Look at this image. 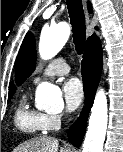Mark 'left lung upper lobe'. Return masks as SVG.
Listing matches in <instances>:
<instances>
[{"instance_id":"left-lung-upper-lobe-1","label":"left lung upper lobe","mask_w":123,"mask_h":152,"mask_svg":"<svg viewBox=\"0 0 123 152\" xmlns=\"http://www.w3.org/2000/svg\"><path fill=\"white\" fill-rule=\"evenodd\" d=\"M36 65L35 39L27 33L15 63L16 82L20 85L33 72Z\"/></svg>"}]
</instances>
